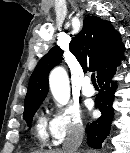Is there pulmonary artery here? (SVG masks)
<instances>
[{"label":"pulmonary artery","instance_id":"1","mask_svg":"<svg viewBox=\"0 0 130 153\" xmlns=\"http://www.w3.org/2000/svg\"><path fill=\"white\" fill-rule=\"evenodd\" d=\"M81 92L84 96L87 97L93 96L95 93V90L90 84V79L88 77L84 79L83 86L81 87Z\"/></svg>","mask_w":130,"mask_h":153}]
</instances>
